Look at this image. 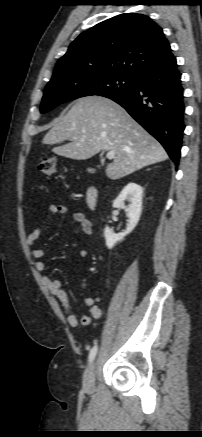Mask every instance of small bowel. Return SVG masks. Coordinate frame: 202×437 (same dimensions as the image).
<instances>
[{
	"label": "small bowel",
	"instance_id": "obj_1",
	"mask_svg": "<svg viewBox=\"0 0 202 437\" xmlns=\"http://www.w3.org/2000/svg\"><path fill=\"white\" fill-rule=\"evenodd\" d=\"M49 213L52 215H68L70 209L66 205L50 204L48 206ZM73 219L81 225L82 231L85 235L91 236L93 233L92 223L81 212H74L72 214ZM44 227H38L34 229L27 237V245L30 249V254L36 259L34 268L39 273L45 270V262L42 260L45 250L41 247H34L35 243L40 239L44 232ZM88 249L82 248L80 255L82 257L87 256ZM42 281L47 290L55 296L62 305V308L67 316V322L72 328H77L81 322L83 325H88L93 319H99L103 315L102 309L96 304V299L91 297H84L83 302L89 308V313L84 314L79 320L75 312L73 311L68 294L63 290L62 283L58 279H53L46 274L42 275Z\"/></svg>",
	"mask_w": 202,
	"mask_h": 437
}]
</instances>
